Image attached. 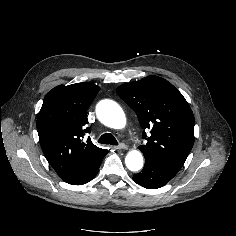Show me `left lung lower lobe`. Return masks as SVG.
<instances>
[{"label": "left lung lower lobe", "mask_w": 236, "mask_h": 236, "mask_svg": "<svg viewBox=\"0 0 236 236\" xmlns=\"http://www.w3.org/2000/svg\"><path fill=\"white\" fill-rule=\"evenodd\" d=\"M177 172L163 167L156 160L145 157V167L133 176L135 183L147 189H157L166 185Z\"/></svg>", "instance_id": "obj_1"}]
</instances>
